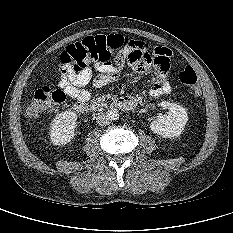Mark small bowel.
Here are the masks:
<instances>
[{"instance_id": "c3829d8e", "label": "small bowel", "mask_w": 233, "mask_h": 233, "mask_svg": "<svg viewBox=\"0 0 233 233\" xmlns=\"http://www.w3.org/2000/svg\"><path fill=\"white\" fill-rule=\"evenodd\" d=\"M170 49L156 47L152 49L143 42L134 44L126 55L125 66L131 72L152 73L155 81L149 94L153 97L171 92V85L167 78L170 71ZM93 70L98 74L93 76ZM120 73V67L112 64L96 63L94 67L87 66L79 72H62L59 86L71 99L77 102L88 101L90 94L86 86L90 83L95 87H103L115 81ZM139 97L138 95H135Z\"/></svg>"}]
</instances>
